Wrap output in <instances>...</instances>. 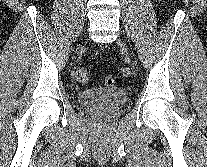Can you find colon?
I'll return each instance as SVG.
<instances>
[{
	"label": "colon",
	"mask_w": 207,
	"mask_h": 167,
	"mask_svg": "<svg viewBox=\"0 0 207 167\" xmlns=\"http://www.w3.org/2000/svg\"><path fill=\"white\" fill-rule=\"evenodd\" d=\"M120 73L123 77L130 76V70L126 67L121 68ZM75 78L80 83H86L89 80V72L85 68H79L75 72ZM102 82L107 87H113L115 85V79L112 76H106L102 79Z\"/></svg>",
	"instance_id": "colon-1"
}]
</instances>
